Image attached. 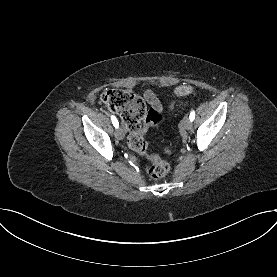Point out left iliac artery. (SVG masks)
<instances>
[{
  "mask_svg": "<svg viewBox=\"0 0 277 277\" xmlns=\"http://www.w3.org/2000/svg\"><path fill=\"white\" fill-rule=\"evenodd\" d=\"M189 118H190L191 121H193L195 119V112L194 111H191Z\"/></svg>",
  "mask_w": 277,
  "mask_h": 277,
  "instance_id": "left-iliac-artery-1",
  "label": "left iliac artery"
}]
</instances>
